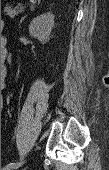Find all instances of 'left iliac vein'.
Masks as SVG:
<instances>
[{
    "mask_svg": "<svg viewBox=\"0 0 109 170\" xmlns=\"http://www.w3.org/2000/svg\"><path fill=\"white\" fill-rule=\"evenodd\" d=\"M15 169V167H10L8 170H14Z\"/></svg>",
    "mask_w": 109,
    "mask_h": 170,
    "instance_id": "1",
    "label": "left iliac vein"
}]
</instances>
